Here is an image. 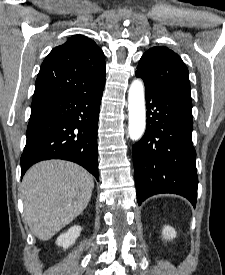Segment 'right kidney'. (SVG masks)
<instances>
[{
  "instance_id": "ca27d5eb",
  "label": "right kidney",
  "mask_w": 225,
  "mask_h": 275,
  "mask_svg": "<svg viewBox=\"0 0 225 275\" xmlns=\"http://www.w3.org/2000/svg\"><path fill=\"white\" fill-rule=\"evenodd\" d=\"M81 233V227L78 225L72 226L68 229L67 232L61 234L57 240L56 244L58 246L63 247L64 249L69 248L71 245H73L76 241V239L79 237Z\"/></svg>"
}]
</instances>
